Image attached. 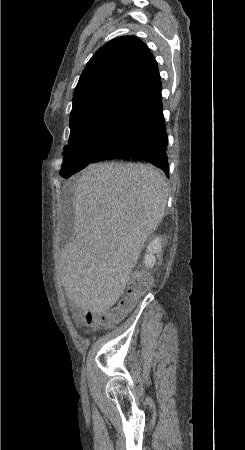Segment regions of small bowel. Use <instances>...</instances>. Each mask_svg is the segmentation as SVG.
<instances>
[{
    "label": "small bowel",
    "instance_id": "small-bowel-1",
    "mask_svg": "<svg viewBox=\"0 0 245 450\" xmlns=\"http://www.w3.org/2000/svg\"><path fill=\"white\" fill-rule=\"evenodd\" d=\"M74 317H75L77 323H80V321H81V315L78 314V313H75V314H74Z\"/></svg>",
    "mask_w": 245,
    "mask_h": 450
}]
</instances>
